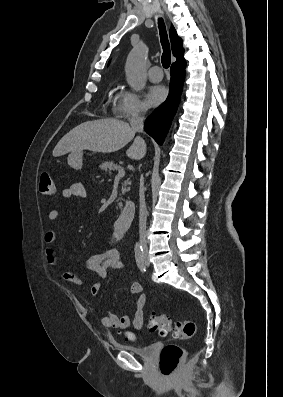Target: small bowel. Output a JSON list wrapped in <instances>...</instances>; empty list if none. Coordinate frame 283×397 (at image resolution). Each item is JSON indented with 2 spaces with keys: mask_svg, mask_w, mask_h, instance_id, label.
I'll return each instance as SVG.
<instances>
[{
  "mask_svg": "<svg viewBox=\"0 0 283 397\" xmlns=\"http://www.w3.org/2000/svg\"><path fill=\"white\" fill-rule=\"evenodd\" d=\"M61 195L66 199L82 198L86 195V188L83 183L75 182L69 187L62 189ZM60 217V210L52 209L48 213V218L55 221ZM121 238L117 232H113L111 241L116 242ZM44 242L48 245L45 248V259L50 267L57 268L58 260L54 249L50 246L56 240V232L48 230L44 234ZM87 268L95 273L99 280L107 277L109 271L123 270L125 265L121 260L120 254L116 249H110L106 252L92 255L87 260ZM59 276L62 280L83 287H88L91 295H97L100 290L99 282H86L78 275L69 271H61ZM131 294L137 295L135 301V309L133 316L128 314L116 315L107 313L102 316L101 323L106 328L125 329L129 325H133L134 329L140 330L143 325L144 307L146 304V296L143 293V287L139 282L131 283L129 287Z\"/></svg>",
  "mask_w": 283,
  "mask_h": 397,
  "instance_id": "1",
  "label": "small bowel"
}]
</instances>
